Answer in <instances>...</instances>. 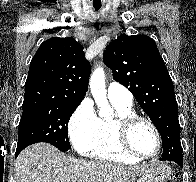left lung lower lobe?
Here are the masks:
<instances>
[{
	"instance_id": "0a47b994",
	"label": "left lung lower lobe",
	"mask_w": 196,
	"mask_h": 182,
	"mask_svg": "<svg viewBox=\"0 0 196 182\" xmlns=\"http://www.w3.org/2000/svg\"><path fill=\"white\" fill-rule=\"evenodd\" d=\"M165 148L162 154V160H170V161H174L177 162L180 166L182 165V156L180 154L177 153V151L175 149H169L170 151L167 152V147H163Z\"/></svg>"
}]
</instances>
